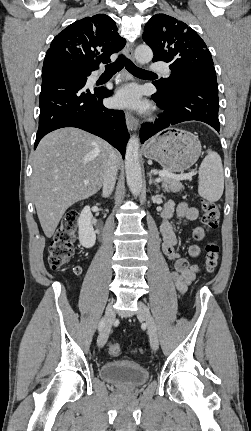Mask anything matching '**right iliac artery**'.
Masks as SVG:
<instances>
[{
	"label": "right iliac artery",
	"instance_id": "right-iliac-artery-1",
	"mask_svg": "<svg viewBox=\"0 0 251 431\" xmlns=\"http://www.w3.org/2000/svg\"><path fill=\"white\" fill-rule=\"evenodd\" d=\"M104 323H105V319L103 318V319H101V321H100V323H99V325H98V329H99V331H101V330H102V328H103V326H104Z\"/></svg>",
	"mask_w": 251,
	"mask_h": 431
}]
</instances>
